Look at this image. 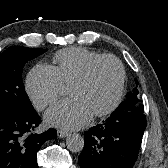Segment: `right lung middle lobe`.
<instances>
[{
    "label": "right lung middle lobe",
    "instance_id": "1",
    "mask_svg": "<svg viewBox=\"0 0 168 168\" xmlns=\"http://www.w3.org/2000/svg\"><path fill=\"white\" fill-rule=\"evenodd\" d=\"M47 50L13 46L0 55V107L34 110L22 81L24 65Z\"/></svg>",
    "mask_w": 168,
    "mask_h": 168
}]
</instances>
